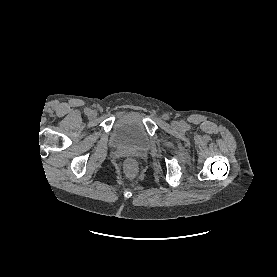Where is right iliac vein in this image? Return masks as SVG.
I'll list each match as a JSON object with an SVG mask.
<instances>
[{
    "label": "right iliac vein",
    "mask_w": 277,
    "mask_h": 277,
    "mask_svg": "<svg viewBox=\"0 0 277 277\" xmlns=\"http://www.w3.org/2000/svg\"><path fill=\"white\" fill-rule=\"evenodd\" d=\"M97 116V112L95 110H92L90 113H89V117L90 118H95Z\"/></svg>",
    "instance_id": "obj_1"
}]
</instances>
